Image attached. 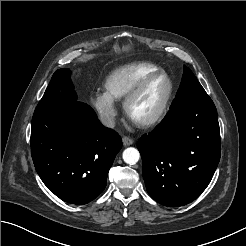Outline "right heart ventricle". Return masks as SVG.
<instances>
[{"instance_id":"right-heart-ventricle-1","label":"right heart ventricle","mask_w":246,"mask_h":246,"mask_svg":"<svg viewBox=\"0 0 246 246\" xmlns=\"http://www.w3.org/2000/svg\"><path fill=\"white\" fill-rule=\"evenodd\" d=\"M160 70L158 65L151 62H136L120 66L107 76L104 82L105 92L114 101L124 100L142 78Z\"/></svg>"}]
</instances>
